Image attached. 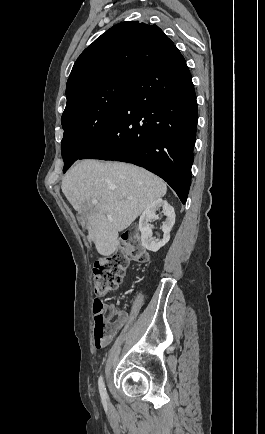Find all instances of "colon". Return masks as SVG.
Here are the masks:
<instances>
[{
    "mask_svg": "<svg viewBox=\"0 0 265 434\" xmlns=\"http://www.w3.org/2000/svg\"><path fill=\"white\" fill-rule=\"evenodd\" d=\"M135 259L142 258L138 250L133 254ZM127 265V256L123 251L114 253L110 258H102L100 261L93 263L95 295L94 300V322L93 328L95 346L97 348L107 347L110 339L109 320L106 314H102L104 308L101 305V300L104 295L115 291L122 281L125 267Z\"/></svg>",
    "mask_w": 265,
    "mask_h": 434,
    "instance_id": "obj_1",
    "label": "colon"
}]
</instances>
